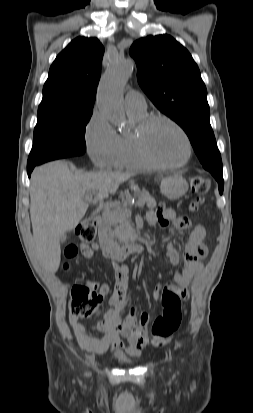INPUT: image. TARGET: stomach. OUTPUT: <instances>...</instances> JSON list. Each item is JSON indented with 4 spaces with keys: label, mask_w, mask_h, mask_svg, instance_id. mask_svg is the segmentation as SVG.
I'll list each match as a JSON object with an SVG mask.
<instances>
[{
    "label": "stomach",
    "mask_w": 253,
    "mask_h": 413,
    "mask_svg": "<svg viewBox=\"0 0 253 413\" xmlns=\"http://www.w3.org/2000/svg\"><path fill=\"white\" fill-rule=\"evenodd\" d=\"M188 190L187 181L179 174L170 175L161 181L160 191L170 200L181 198Z\"/></svg>",
    "instance_id": "stomach-1"
}]
</instances>
